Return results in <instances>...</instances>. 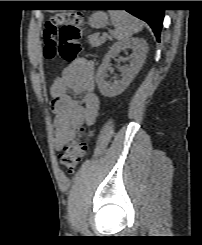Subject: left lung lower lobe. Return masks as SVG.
Segmentation results:
<instances>
[{"instance_id": "0a47b994", "label": "left lung lower lobe", "mask_w": 202, "mask_h": 245, "mask_svg": "<svg viewBox=\"0 0 202 245\" xmlns=\"http://www.w3.org/2000/svg\"><path fill=\"white\" fill-rule=\"evenodd\" d=\"M106 6L127 7L126 11L145 21L152 28L159 41L164 18V10L150 8L153 1H103Z\"/></svg>"}]
</instances>
